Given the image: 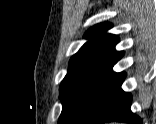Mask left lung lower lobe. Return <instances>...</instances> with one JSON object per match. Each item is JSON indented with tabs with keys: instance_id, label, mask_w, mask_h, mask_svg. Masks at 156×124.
I'll return each mask as SVG.
<instances>
[{
	"instance_id": "1",
	"label": "left lung lower lobe",
	"mask_w": 156,
	"mask_h": 124,
	"mask_svg": "<svg viewBox=\"0 0 156 124\" xmlns=\"http://www.w3.org/2000/svg\"><path fill=\"white\" fill-rule=\"evenodd\" d=\"M125 73H114L95 97L78 124L128 122L141 124L142 120L130 110L132 97L121 89Z\"/></svg>"
}]
</instances>
